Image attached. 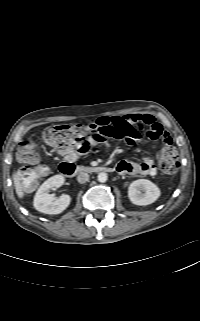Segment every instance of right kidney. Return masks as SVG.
<instances>
[{
    "instance_id": "obj_1",
    "label": "right kidney",
    "mask_w": 200,
    "mask_h": 321,
    "mask_svg": "<svg viewBox=\"0 0 200 321\" xmlns=\"http://www.w3.org/2000/svg\"><path fill=\"white\" fill-rule=\"evenodd\" d=\"M64 180L62 175H55L40 186L33 202L36 210L45 214H59L69 206L71 202L69 195L63 194L58 199H55L54 195L49 194L51 189L62 186Z\"/></svg>"
}]
</instances>
